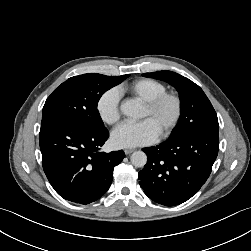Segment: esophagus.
I'll use <instances>...</instances> for the list:
<instances>
[{
    "mask_svg": "<svg viewBox=\"0 0 251 251\" xmlns=\"http://www.w3.org/2000/svg\"><path fill=\"white\" fill-rule=\"evenodd\" d=\"M134 151V149H125L124 152L126 155L131 154Z\"/></svg>",
    "mask_w": 251,
    "mask_h": 251,
    "instance_id": "obj_1",
    "label": "esophagus"
}]
</instances>
